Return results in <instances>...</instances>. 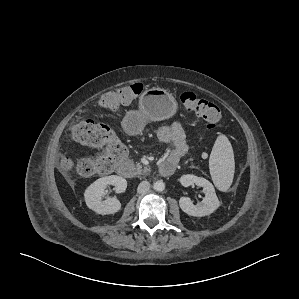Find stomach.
<instances>
[{
    "label": "stomach",
    "instance_id": "stomach-1",
    "mask_svg": "<svg viewBox=\"0 0 299 299\" xmlns=\"http://www.w3.org/2000/svg\"><path fill=\"white\" fill-rule=\"evenodd\" d=\"M178 103L167 90L153 87L145 90L139 97V109L130 111L125 118V128L137 134L149 121H162L176 114Z\"/></svg>",
    "mask_w": 299,
    "mask_h": 299
}]
</instances>
